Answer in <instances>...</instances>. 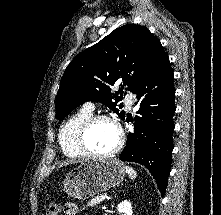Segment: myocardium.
Segmentation results:
<instances>
[{"mask_svg":"<svg viewBox=\"0 0 221 215\" xmlns=\"http://www.w3.org/2000/svg\"><path fill=\"white\" fill-rule=\"evenodd\" d=\"M100 121H106V122L111 123L115 127L117 136H118L116 145L111 150L105 153H95L91 151L88 148L87 143H86V137H87L88 132L90 131V129L93 127L94 124ZM77 144H78L79 149L82 151L84 155H87L93 158H99V159L108 158L117 154L123 147L124 132L119 122L113 117L105 115V114L92 115L80 127L78 134H77Z\"/></svg>","mask_w":221,"mask_h":215,"instance_id":"myocardium-1","label":"myocardium"}]
</instances>
